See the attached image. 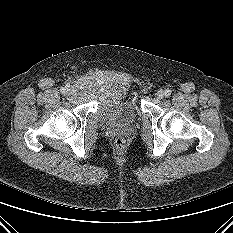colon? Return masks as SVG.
<instances>
[{
	"label": "colon",
	"mask_w": 233,
	"mask_h": 233,
	"mask_svg": "<svg viewBox=\"0 0 233 233\" xmlns=\"http://www.w3.org/2000/svg\"><path fill=\"white\" fill-rule=\"evenodd\" d=\"M114 146H115L116 150H118L120 152L124 151V149L126 148L125 139L122 137L116 138L114 141Z\"/></svg>",
	"instance_id": "1"
}]
</instances>
